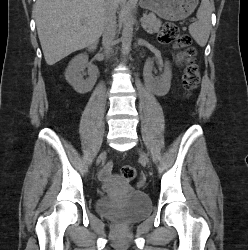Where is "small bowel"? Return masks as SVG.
Here are the masks:
<instances>
[{"label":"small bowel","instance_id":"small-bowel-1","mask_svg":"<svg viewBox=\"0 0 248 250\" xmlns=\"http://www.w3.org/2000/svg\"><path fill=\"white\" fill-rule=\"evenodd\" d=\"M176 61L179 65H183L184 62L186 61V55L182 52H178L176 55ZM110 175V168L109 166H105L101 172V176L104 179H107Z\"/></svg>","mask_w":248,"mask_h":250}]
</instances>
